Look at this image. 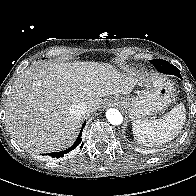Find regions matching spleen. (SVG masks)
<instances>
[{
    "mask_svg": "<svg viewBox=\"0 0 196 196\" xmlns=\"http://www.w3.org/2000/svg\"><path fill=\"white\" fill-rule=\"evenodd\" d=\"M186 119V109L182 103L176 105L161 118L138 119L132 122L135 139L148 146L171 141L182 130Z\"/></svg>",
    "mask_w": 196,
    "mask_h": 196,
    "instance_id": "obj_1",
    "label": "spleen"
}]
</instances>
